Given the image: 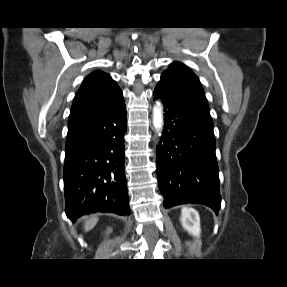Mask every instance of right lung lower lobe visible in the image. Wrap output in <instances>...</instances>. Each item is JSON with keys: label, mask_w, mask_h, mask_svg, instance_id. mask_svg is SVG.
<instances>
[{"label": "right lung lower lobe", "mask_w": 287, "mask_h": 287, "mask_svg": "<svg viewBox=\"0 0 287 287\" xmlns=\"http://www.w3.org/2000/svg\"><path fill=\"white\" fill-rule=\"evenodd\" d=\"M125 130L124 100L106 112L68 121L63 178L71 220L94 212L129 215Z\"/></svg>", "instance_id": "1"}]
</instances>
